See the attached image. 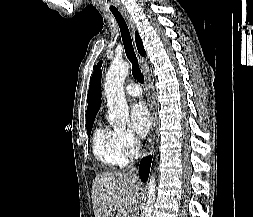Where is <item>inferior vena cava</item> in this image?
I'll list each match as a JSON object with an SVG mask.
<instances>
[{
  "mask_svg": "<svg viewBox=\"0 0 253 217\" xmlns=\"http://www.w3.org/2000/svg\"><path fill=\"white\" fill-rule=\"evenodd\" d=\"M134 171H135V169L133 168L129 172H130V174H133L134 177H136V174L134 173Z\"/></svg>",
  "mask_w": 253,
  "mask_h": 217,
  "instance_id": "602c4592",
  "label": "inferior vena cava"
}]
</instances>
